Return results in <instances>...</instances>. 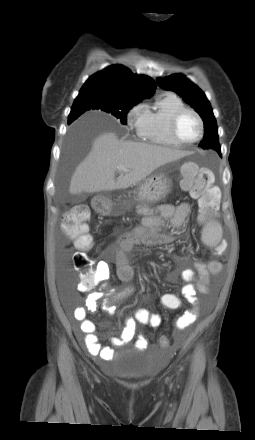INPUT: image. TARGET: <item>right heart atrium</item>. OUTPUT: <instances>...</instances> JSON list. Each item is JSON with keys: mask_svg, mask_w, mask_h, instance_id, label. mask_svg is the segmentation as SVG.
Segmentation results:
<instances>
[{"mask_svg": "<svg viewBox=\"0 0 255 440\" xmlns=\"http://www.w3.org/2000/svg\"><path fill=\"white\" fill-rule=\"evenodd\" d=\"M145 113V107L139 103L133 106L127 113L128 124L137 131L139 130Z\"/></svg>", "mask_w": 255, "mask_h": 440, "instance_id": "d8ad5b80", "label": "right heart atrium"}]
</instances>
